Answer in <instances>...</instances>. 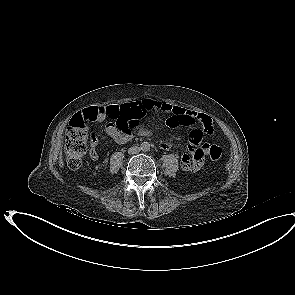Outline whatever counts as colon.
<instances>
[{
    "instance_id": "1",
    "label": "colon",
    "mask_w": 295,
    "mask_h": 295,
    "mask_svg": "<svg viewBox=\"0 0 295 295\" xmlns=\"http://www.w3.org/2000/svg\"><path fill=\"white\" fill-rule=\"evenodd\" d=\"M108 118L112 119L119 129H126L131 124V116L123 107L114 108L106 112ZM85 119L75 117L66 131L65 154L66 163L71 169H78L86 151V144L89 136V129ZM209 157L212 161H219L222 158V149L217 145L209 148Z\"/></svg>"
}]
</instances>
